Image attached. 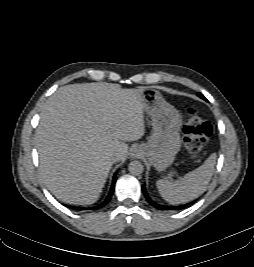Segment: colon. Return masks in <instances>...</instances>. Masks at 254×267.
Wrapping results in <instances>:
<instances>
[{
    "mask_svg": "<svg viewBox=\"0 0 254 267\" xmlns=\"http://www.w3.org/2000/svg\"><path fill=\"white\" fill-rule=\"evenodd\" d=\"M186 149L194 159L198 158L213 133L210 122L204 120L195 108L186 111V122L183 127Z\"/></svg>",
    "mask_w": 254,
    "mask_h": 267,
    "instance_id": "obj_1",
    "label": "colon"
}]
</instances>
